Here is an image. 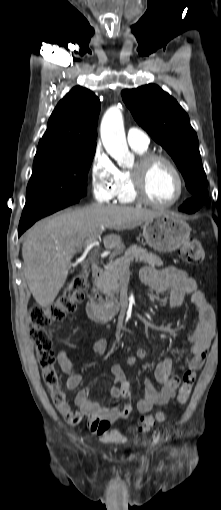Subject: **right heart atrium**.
<instances>
[{
	"label": "right heart atrium",
	"mask_w": 221,
	"mask_h": 510,
	"mask_svg": "<svg viewBox=\"0 0 221 510\" xmlns=\"http://www.w3.org/2000/svg\"><path fill=\"white\" fill-rule=\"evenodd\" d=\"M90 183L98 202L110 203L115 197L119 185L118 169L101 147H97L92 156Z\"/></svg>",
	"instance_id": "obj_1"
}]
</instances>
